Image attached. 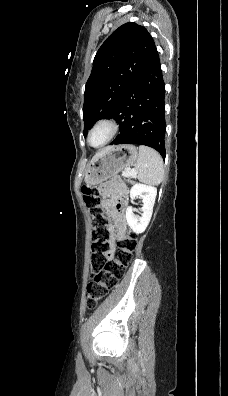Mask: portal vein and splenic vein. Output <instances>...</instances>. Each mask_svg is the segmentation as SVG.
Wrapping results in <instances>:
<instances>
[{"mask_svg": "<svg viewBox=\"0 0 228 396\" xmlns=\"http://www.w3.org/2000/svg\"><path fill=\"white\" fill-rule=\"evenodd\" d=\"M124 175H125L126 177H129V176H131V175H134V170H131V171L125 170V171H124Z\"/></svg>", "mask_w": 228, "mask_h": 396, "instance_id": "portal-vein-and-splenic-vein-1", "label": "portal vein and splenic vein"}]
</instances>
